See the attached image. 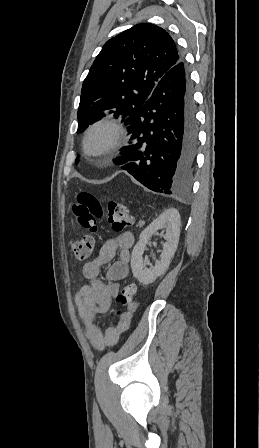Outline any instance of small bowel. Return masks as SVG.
I'll return each mask as SVG.
<instances>
[{"label": "small bowel", "instance_id": "c3829d8e", "mask_svg": "<svg viewBox=\"0 0 259 448\" xmlns=\"http://www.w3.org/2000/svg\"><path fill=\"white\" fill-rule=\"evenodd\" d=\"M133 244L132 233L123 232L108 239L101 246L97 257L83 266L82 274L86 284L77 292L75 303L85 326L86 337L96 351H103L107 347L114 346L121 334L130 326L135 305L129 308L116 325L109 326L104 332L95 324V320L97 315L110 310L112 300L117 297L120 281L129 271ZM117 253L118 258L114 260ZM108 263H111L106 272L108 282L103 283L99 279V274L101 268Z\"/></svg>", "mask_w": 259, "mask_h": 448}]
</instances>
